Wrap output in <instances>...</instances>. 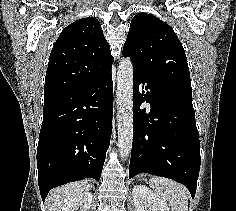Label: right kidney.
I'll use <instances>...</instances> for the list:
<instances>
[{"label": "right kidney", "mask_w": 236, "mask_h": 211, "mask_svg": "<svg viewBox=\"0 0 236 211\" xmlns=\"http://www.w3.org/2000/svg\"><path fill=\"white\" fill-rule=\"evenodd\" d=\"M93 200L91 192H85L80 196L70 200L67 204L62 206L60 211H73L79 209V211H89Z\"/></svg>", "instance_id": "right-kidney-1"}]
</instances>
